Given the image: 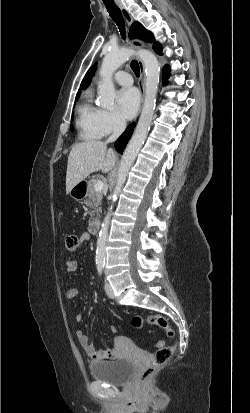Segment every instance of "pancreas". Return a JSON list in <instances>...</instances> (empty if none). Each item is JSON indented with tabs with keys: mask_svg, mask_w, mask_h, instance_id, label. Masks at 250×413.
<instances>
[{
	"mask_svg": "<svg viewBox=\"0 0 250 413\" xmlns=\"http://www.w3.org/2000/svg\"><path fill=\"white\" fill-rule=\"evenodd\" d=\"M95 180L91 179L88 182V189H87V197L86 205L90 207L91 211L89 212L90 220L89 222L92 223L95 220V215L99 216L101 212V202L103 197V191H96L94 189Z\"/></svg>",
	"mask_w": 250,
	"mask_h": 413,
	"instance_id": "cf45deb5",
	"label": "pancreas"
}]
</instances>
